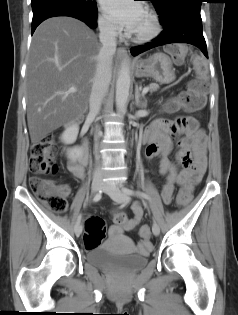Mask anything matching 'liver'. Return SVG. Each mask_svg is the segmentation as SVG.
<instances>
[{"label":"liver","instance_id":"obj_1","mask_svg":"<svg viewBox=\"0 0 238 315\" xmlns=\"http://www.w3.org/2000/svg\"><path fill=\"white\" fill-rule=\"evenodd\" d=\"M100 49L95 33L72 17H53L38 26L26 70L27 122L33 145L82 119ZM71 87L76 92H69Z\"/></svg>","mask_w":238,"mask_h":315}]
</instances>
